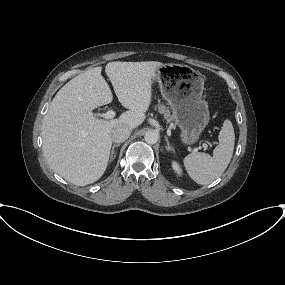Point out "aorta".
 Masks as SVG:
<instances>
[{"mask_svg": "<svg viewBox=\"0 0 285 285\" xmlns=\"http://www.w3.org/2000/svg\"><path fill=\"white\" fill-rule=\"evenodd\" d=\"M144 139L148 144H155L158 141V134L155 131H147Z\"/></svg>", "mask_w": 285, "mask_h": 285, "instance_id": "1", "label": "aorta"}]
</instances>
